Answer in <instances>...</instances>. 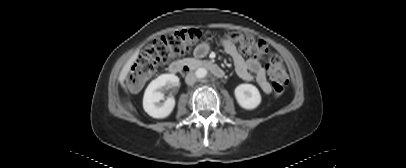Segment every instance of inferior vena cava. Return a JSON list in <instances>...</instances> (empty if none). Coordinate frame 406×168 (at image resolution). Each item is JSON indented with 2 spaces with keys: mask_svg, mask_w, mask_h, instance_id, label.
Segmentation results:
<instances>
[{
  "mask_svg": "<svg viewBox=\"0 0 406 168\" xmlns=\"http://www.w3.org/2000/svg\"><path fill=\"white\" fill-rule=\"evenodd\" d=\"M185 82L188 85H193L196 82V76L194 73L189 72L185 77Z\"/></svg>",
  "mask_w": 406,
  "mask_h": 168,
  "instance_id": "inferior-vena-cava-1",
  "label": "inferior vena cava"
}]
</instances>
